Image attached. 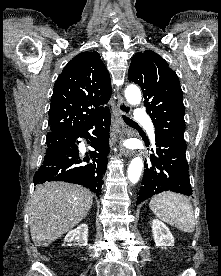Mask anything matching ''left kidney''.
<instances>
[{
    "label": "left kidney",
    "instance_id": "5707ae66",
    "mask_svg": "<svg viewBox=\"0 0 221 276\" xmlns=\"http://www.w3.org/2000/svg\"><path fill=\"white\" fill-rule=\"evenodd\" d=\"M153 238L156 246H173L174 238L169 228L160 220L154 219L152 222Z\"/></svg>",
    "mask_w": 221,
    "mask_h": 276
}]
</instances>
